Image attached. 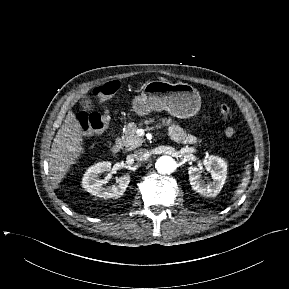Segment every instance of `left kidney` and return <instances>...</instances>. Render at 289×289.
I'll list each match as a JSON object with an SVG mask.
<instances>
[{
    "instance_id": "left-kidney-1",
    "label": "left kidney",
    "mask_w": 289,
    "mask_h": 289,
    "mask_svg": "<svg viewBox=\"0 0 289 289\" xmlns=\"http://www.w3.org/2000/svg\"><path fill=\"white\" fill-rule=\"evenodd\" d=\"M205 168L210 172L212 181L201 179V169L189 167V181L192 189L206 197H215L220 193L227 177V163L220 157L211 155L205 162Z\"/></svg>"
}]
</instances>
